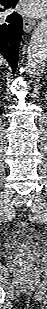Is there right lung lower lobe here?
<instances>
[{"label":"right lung lower lobe","instance_id":"98d812e1","mask_svg":"<svg viewBox=\"0 0 47 309\" xmlns=\"http://www.w3.org/2000/svg\"><path fill=\"white\" fill-rule=\"evenodd\" d=\"M18 0H0L5 8L15 7ZM4 9H0V12ZM22 33V19L17 13L0 16V54L9 62L15 72Z\"/></svg>","mask_w":47,"mask_h":309}]
</instances>
